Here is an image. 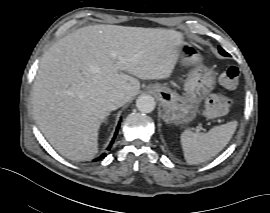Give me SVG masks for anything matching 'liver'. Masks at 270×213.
<instances>
[{
  "label": "liver",
  "mask_w": 270,
  "mask_h": 213,
  "mask_svg": "<svg viewBox=\"0 0 270 213\" xmlns=\"http://www.w3.org/2000/svg\"><path fill=\"white\" fill-rule=\"evenodd\" d=\"M182 42L175 30L99 24L54 43L40 61L32 93L45 138L70 160L92 159L101 123L120 107L110 93L121 90L128 102L140 89L137 78H169Z\"/></svg>",
  "instance_id": "1"
}]
</instances>
